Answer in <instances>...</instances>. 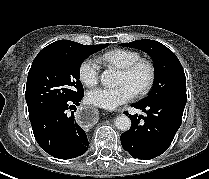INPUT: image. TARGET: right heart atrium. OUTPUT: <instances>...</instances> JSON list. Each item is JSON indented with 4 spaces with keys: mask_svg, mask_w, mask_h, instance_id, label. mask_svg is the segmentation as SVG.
<instances>
[{
    "mask_svg": "<svg viewBox=\"0 0 209 179\" xmlns=\"http://www.w3.org/2000/svg\"><path fill=\"white\" fill-rule=\"evenodd\" d=\"M80 81L87 87L95 86L99 81L100 67L96 60L87 58L82 61L78 69Z\"/></svg>",
    "mask_w": 209,
    "mask_h": 179,
    "instance_id": "1",
    "label": "right heart atrium"
}]
</instances>
